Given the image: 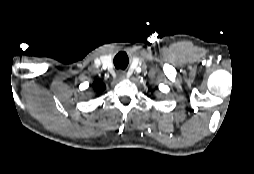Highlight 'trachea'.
Instances as JSON below:
<instances>
[{"label":"trachea","mask_w":254,"mask_h":174,"mask_svg":"<svg viewBox=\"0 0 254 174\" xmlns=\"http://www.w3.org/2000/svg\"><path fill=\"white\" fill-rule=\"evenodd\" d=\"M119 56H120V58H119ZM121 54L120 55H118L116 58H115V66H116V68H121V63H123V57H122V59H121Z\"/></svg>","instance_id":"1"}]
</instances>
